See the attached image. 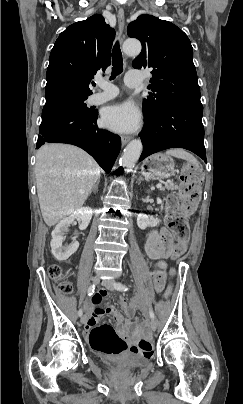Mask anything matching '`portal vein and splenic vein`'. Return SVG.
<instances>
[{
    "label": "portal vein and splenic vein",
    "instance_id": "1",
    "mask_svg": "<svg viewBox=\"0 0 243 404\" xmlns=\"http://www.w3.org/2000/svg\"><path fill=\"white\" fill-rule=\"evenodd\" d=\"M156 188H162V184H157Z\"/></svg>",
    "mask_w": 243,
    "mask_h": 404
}]
</instances>
